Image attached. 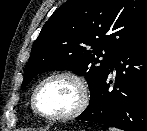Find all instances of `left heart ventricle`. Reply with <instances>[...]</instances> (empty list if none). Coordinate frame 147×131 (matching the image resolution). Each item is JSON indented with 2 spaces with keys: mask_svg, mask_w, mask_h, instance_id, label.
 Masks as SVG:
<instances>
[{
  "mask_svg": "<svg viewBox=\"0 0 147 131\" xmlns=\"http://www.w3.org/2000/svg\"><path fill=\"white\" fill-rule=\"evenodd\" d=\"M80 101L77 84L68 78L46 82L37 94V105L47 115H63L76 108Z\"/></svg>",
  "mask_w": 147,
  "mask_h": 131,
  "instance_id": "left-heart-ventricle-1",
  "label": "left heart ventricle"
}]
</instances>
